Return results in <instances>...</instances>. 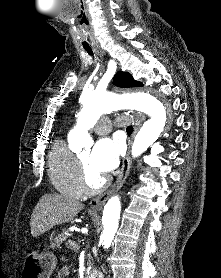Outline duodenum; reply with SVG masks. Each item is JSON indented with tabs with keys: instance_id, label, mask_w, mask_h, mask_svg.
<instances>
[{
	"instance_id": "410a0bca",
	"label": "duodenum",
	"mask_w": 221,
	"mask_h": 278,
	"mask_svg": "<svg viewBox=\"0 0 221 278\" xmlns=\"http://www.w3.org/2000/svg\"><path fill=\"white\" fill-rule=\"evenodd\" d=\"M89 278H101L97 273H92Z\"/></svg>"
}]
</instances>
